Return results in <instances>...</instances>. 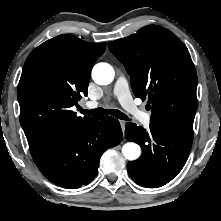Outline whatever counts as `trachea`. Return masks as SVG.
Listing matches in <instances>:
<instances>
[{
	"instance_id": "obj_1",
	"label": "trachea",
	"mask_w": 221,
	"mask_h": 221,
	"mask_svg": "<svg viewBox=\"0 0 221 221\" xmlns=\"http://www.w3.org/2000/svg\"><path fill=\"white\" fill-rule=\"evenodd\" d=\"M79 111L82 114L85 115H89V116H103L106 114H110L118 119L121 120H129L128 116L125 115L124 113H122L121 111L117 110V109H103V108H96V109H92V110H85L83 108H79Z\"/></svg>"
}]
</instances>
